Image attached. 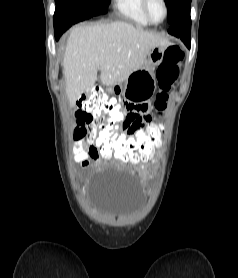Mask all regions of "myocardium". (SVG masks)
<instances>
[{
    "instance_id": "f54148a6",
    "label": "myocardium",
    "mask_w": 238,
    "mask_h": 278,
    "mask_svg": "<svg viewBox=\"0 0 238 278\" xmlns=\"http://www.w3.org/2000/svg\"><path fill=\"white\" fill-rule=\"evenodd\" d=\"M149 2L150 0H142V7H143V11L146 15V17L149 19V21L153 24H160L162 23L168 16V5L166 0H160V2L162 3L163 7H164V16L161 20H154L153 17L150 14V10H149Z\"/></svg>"
}]
</instances>
